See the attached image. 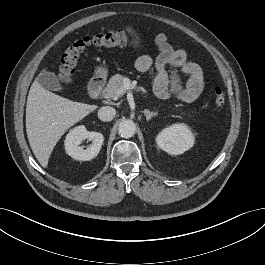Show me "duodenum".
Masks as SVG:
<instances>
[{"instance_id":"duodenum-1","label":"duodenum","mask_w":265,"mask_h":265,"mask_svg":"<svg viewBox=\"0 0 265 265\" xmlns=\"http://www.w3.org/2000/svg\"><path fill=\"white\" fill-rule=\"evenodd\" d=\"M104 82L102 79H94L88 85V95L90 98H97L103 88Z\"/></svg>"}]
</instances>
